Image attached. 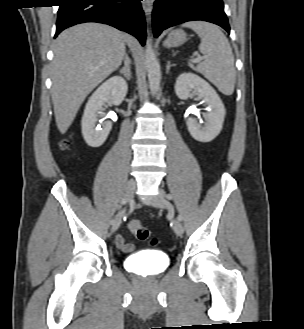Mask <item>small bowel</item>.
<instances>
[{
  "mask_svg": "<svg viewBox=\"0 0 304 329\" xmlns=\"http://www.w3.org/2000/svg\"><path fill=\"white\" fill-rule=\"evenodd\" d=\"M115 242L118 249L124 253H130L135 250V246L132 243L127 242L124 235L122 234L116 236Z\"/></svg>",
  "mask_w": 304,
  "mask_h": 329,
  "instance_id": "small-bowel-1",
  "label": "small bowel"
}]
</instances>
